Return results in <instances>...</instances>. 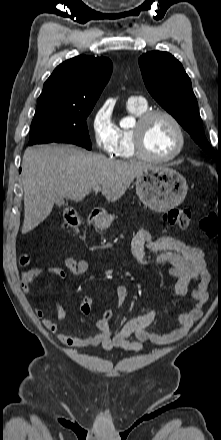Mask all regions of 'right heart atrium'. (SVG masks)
Instances as JSON below:
<instances>
[{"mask_svg":"<svg viewBox=\"0 0 221 440\" xmlns=\"http://www.w3.org/2000/svg\"><path fill=\"white\" fill-rule=\"evenodd\" d=\"M91 131L96 147L101 152L113 155L118 146L119 132L108 106L103 105L94 112Z\"/></svg>","mask_w":221,"mask_h":440,"instance_id":"obj_1","label":"right heart atrium"}]
</instances>
